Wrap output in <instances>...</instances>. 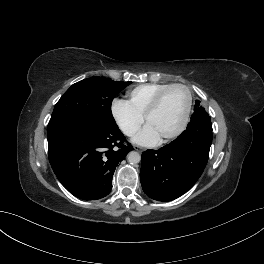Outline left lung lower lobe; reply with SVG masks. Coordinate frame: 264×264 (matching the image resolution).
<instances>
[{
  "label": "left lung lower lobe",
  "instance_id": "1",
  "mask_svg": "<svg viewBox=\"0 0 264 264\" xmlns=\"http://www.w3.org/2000/svg\"><path fill=\"white\" fill-rule=\"evenodd\" d=\"M212 143V125L202 106L194 108L186 130L159 150L142 153V189L157 201H170L187 192L201 176Z\"/></svg>",
  "mask_w": 264,
  "mask_h": 264
}]
</instances>
